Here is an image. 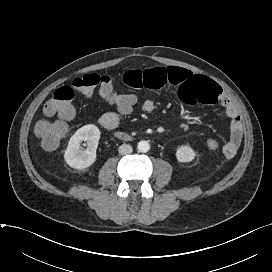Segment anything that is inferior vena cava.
I'll use <instances>...</instances> for the list:
<instances>
[{
    "label": "inferior vena cava",
    "instance_id": "602c4592",
    "mask_svg": "<svg viewBox=\"0 0 272 272\" xmlns=\"http://www.w3.org/2000/svg\"><path fill=\"white\" fill-rule=\"evenodd\" d=\"M118 151L121 155H127L132 153L133 149H132V146H130L129 144H122L119 147Z\"/></svg>",
    "mask_w": 272,
    "mask_h": 272
}]
</instances>
